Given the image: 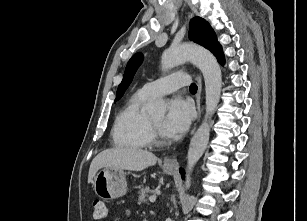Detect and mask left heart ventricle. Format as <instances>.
<instances>
[{
  "mask_svg": "<svg viewBox=\"0 0 307 221\" xmlns=\"http://www.w3.org/2000/svg\"><path fill=\"white\" fill-rule=\"evenodd\" d=\"M152 120L158 126V128L161 131V133L163 134V132H162V124H163V121H164V115L152 116Z\"/></svg>",
  "mask_w": 307,
  "mask_h": 221,
  "instance_id": "1",
  "label": "left heart ventricle"
}]
</instances>
